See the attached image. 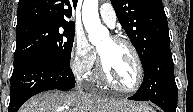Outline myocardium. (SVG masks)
I'll return each instance as SVG.
<instances>
[{
    "instance_id": "obj_1",
    "label": "myocardium",
    "mask_w": 193,
    "mask_h": 112,
    "mask_svg": "<svg viewBox=\"0 0 193 112\" xmlns=\"http://www.w3.org/2000/svg\"><path fill=\"white\" fill-rule=\"evenodd\" d=\"M110 39L115 43H120V44L126 45L130 49V51L132 52V55L134 57L135 64H136V69H137L136 81H135L134 85L132 87H129V88H123V87H120L119 85H117L116 83H114L110 79V77L108 76L100 55L98 58V74H99L100 78L102 79V81L106 85H108L110 88H112L118 92H121V93H126V94L134 93L141 87V85L143 83V79H144V70H143V65H142L140 55H139L136 47L134 46V44L130 40H128L124 37H121V36H112Z\"/></svg>"
}]
</instances>
